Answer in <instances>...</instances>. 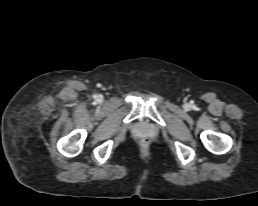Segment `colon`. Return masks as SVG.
Listing matches in <instances>:
<instances>
[{
  "instance_id": "colon-1",
  "label": "colon",
  "mask_w": 258,
  "mask_h": 206,
  "mask_svg": "<svg viewBox=\"0 0 258 206\" xmlns=\"http://www.w3.org/2000/svg\"><path fill=\"white\" fill-rule=\"evenodd\" d=\"M148 145H149L148 139H143V140L141 141V146H142L143 148H147Z\"/></svg>"
}]
</instances>
